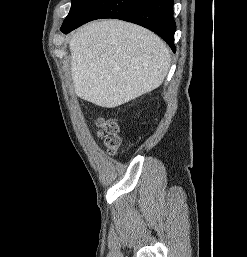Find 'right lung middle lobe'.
Wrapping results in <instances>:
<instances>
[{
  "instance_id": "right-lung-middle-lobe-1",
  "label": "right lung middle lobe",
  "mask_w": 247,
  "mask_h": 257,
  "mask_svg": "<svg viewBox=\"0 0 247 257\" xmlns=\"http://www.w3.org/2000/svg\"><path fill=\"white\" fill-rule=\"evenodd\" d=\"M93 0H72L70 12L63 22V25L75 22L87 9Z\"/></svg>"
}]
</instances>
